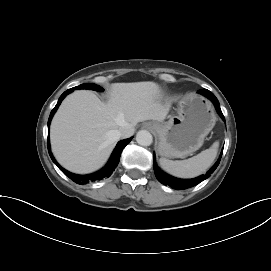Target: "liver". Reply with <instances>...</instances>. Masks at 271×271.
<instances>
[{
    "label": "liver",
    "mask_w": 271,
    "mask_h": 271,
    "mask_svg": "<svg viewBox=\"0 0 271 271\" xmlns=\"http://www.w3.org/2000/svg\"><path fill=\"white\" fill-rule=\"evenodd\" d=\"M160 96L159 86L151 81L114 83L107 103L89 90L73 92L64 99L51 123L54 156L73 173L100 169L120 139V127H134L146 120L164 121L171 103L162 104Z\"/></svg>",
    "instance_id": "obj_1"
}]
</instances>
